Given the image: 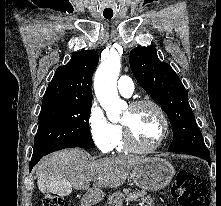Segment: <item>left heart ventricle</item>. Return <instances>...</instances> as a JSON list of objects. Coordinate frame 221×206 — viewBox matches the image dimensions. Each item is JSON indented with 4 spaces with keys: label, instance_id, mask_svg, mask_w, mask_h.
<instances>
[{
    "label": "left heart ventricle",
    "instance_id": "b2bd125f",
    "mask_svg": "<svg viewBox=\"0 0 221 206\" xmlns=\"http://www.w3.org/2000/svg\"><path fill=\"white\" fill-rule=\"evenodd\" d=\"M121 123L130 129L135 143L144 148L155 144L162 129V122L158 113L148 105L135 110L128 108Z\"/></svg>",
    "mask_w": 221,
    "mask_h": 206
}]
</instances>
